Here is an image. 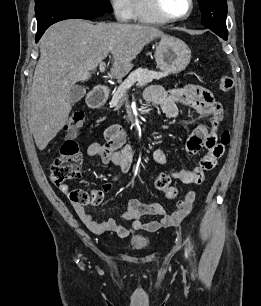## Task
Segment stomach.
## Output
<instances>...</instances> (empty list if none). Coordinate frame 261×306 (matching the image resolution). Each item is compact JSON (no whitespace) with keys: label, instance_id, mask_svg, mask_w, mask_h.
I'll use <instances>...</instances> for the list:
<instances>
[{"label":"stomach","instance_id":"obj_1","mask_svg":"<svg viewBox=\"0 0 261 306\" xmlns=\"http://www.w3.org/2000/svg\"><path fill=\"white\" fill-rule=\"evenodd\" d=\"M191 60V51L182 40L164 36L155 51L157 67L165 73L178 74L186 69Z\"/></svg>","mask_w":261,"mask_h":306}]
</instances>
